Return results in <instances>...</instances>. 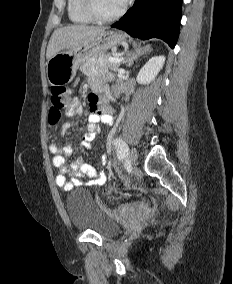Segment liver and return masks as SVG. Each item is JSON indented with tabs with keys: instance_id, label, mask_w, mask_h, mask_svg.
<instances>
[{
	"instance_id": "6515ba94",
	"label": "liver",
	"mask_w": 233,
	"mask_h": 284,
	"mask_svg": "<svg viewBox=\"0 0 233 284\" xmlns=\"http://www.w3.org/2000/svg\"><path fill=\"white\" fill-rule=\"evenodd\" d=\"M104 27L69 25L54 31L47 46L46 58L49 60L63 50L73 49L81 44L93 41Z\"/></svg>"
}]
</instances>
